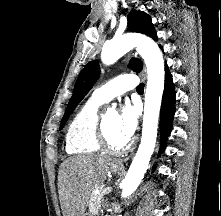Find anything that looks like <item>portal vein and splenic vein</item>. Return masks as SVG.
Wrapping results in <instances>:
<instances>
[{
	"label": "portal vein and splenic vein",
	"mask_w": 221,
	"mask_h": 216,
	"mask_svg": "<svg viewBox=\"0 0 221 216\" xmlns=\"http://www.w3.org/2000/svg\"><path fill=\"white\" fill-rule=\"evenodd\" d=\"M111 191V187H106L104 190H103V193L104 194H107Z\"/></svg>",
	"instance_id": "portal-vein-and-splenic-vein-1"
}]
</instances>
